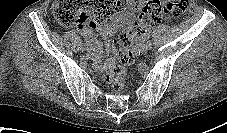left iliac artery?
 <instances>
[{
    "mask_svg": "<svg viewBox=\"0 0 227 133\" xmlns=\"http://www.w3.org/2000/svg\"><path fill=\"white\" fill-rule=\"evenodd\" d=\"M149 38V36L147 37V39ZM149 42V46H150V48H151V42L150 41H148Z\"/></svg>",
    "mask_w": 227,
    "mask_h": 133,
    "instance_id": "44dca946",
    "label": "left iliac artery"
}]
</instances>
